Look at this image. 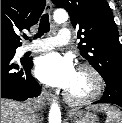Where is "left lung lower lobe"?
Returning <instances> with one entry per match:
<instances>
[{
	"label": "left lung lower lobe",
	"mask_w": 122,
	"mask_h": 123,
	"mask_svg": "<svg viewBox=\"0 0 122 123\" xmlns=\"http://www.w3.org/2000/svg\"><path fill=\"white\" fill-rule=\"evenodd\" d=\"M102 98L93 104L111 103L122 107V75H111L107 79Z\"/></svg>",
	"instance_id": "0a47b994"
}]
</instances>
